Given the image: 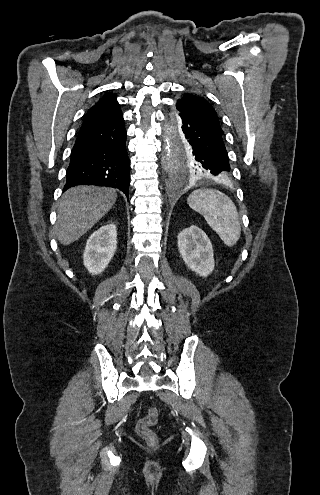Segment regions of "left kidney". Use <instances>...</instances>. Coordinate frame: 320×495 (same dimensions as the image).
Wrapping results in <instances>:
<instances>
[{
    "label": "left kidney",
    "instance_id": "obj_1",
    "mask_svg": "<svg viewBox=\"0 0 320 495\" xmlns=\"http://www.w3.org/2000/svg\"><path fill=\"white\" fill-rule=\"evenodd\" d=\"M178 249L189 269L206 277L214 269L212 244L198 227L191 226L178 234Z\"/></svg>",
    "mask_w": 320,
    "mask_h": 495
}]
</instances>
